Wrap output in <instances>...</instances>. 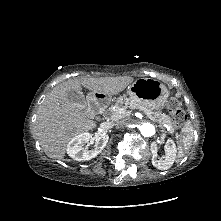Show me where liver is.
Returning a JSON list of instances; mask_svg holds the SVG:
<instances>
[{"instance_id": "1", "label": "liver", "mask_w": 221, "mask_h": 221, "mask_svg": "<svg viewBox=\"0 0 221 221\" xmlns=\"http://www.w3.org/2000/svg\"><path fill=\"white\" fill-rule=\"evenodd\" d=\"M132 77L83 78L65 81L46 95L38 109L35 135L45 154L63 159L70 139L97 126L86 113V104L71 102L67 93H82V86L93 94L116 95L133 82Z\"/></svg>"}]
</instances>
